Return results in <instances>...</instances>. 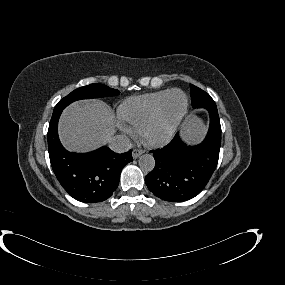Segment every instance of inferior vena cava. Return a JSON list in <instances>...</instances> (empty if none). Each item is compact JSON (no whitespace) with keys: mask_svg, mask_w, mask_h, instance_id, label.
<instances>
[{"mask_svg":"<svg viewBox=\"0 0 285 285\" xmlns=\"http://www.w3.org/2000/svg\"><path fill=\"white\" fill-rule=\"evenodd\" d=\"M108 147L116 153H123L132 148V143L126 135H116L108 140Z\"/></svg>","mask_w":285,"mask_h":285,"instance_id":"inferior-vena-cava-1","label":"inferior vena cava"}]
</instances>
